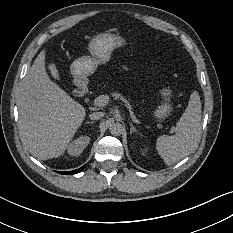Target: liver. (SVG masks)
<instances>
[{"instance_id":"6515ba94","label":"liver","mask_w":233,"mask_h":233,"mask_svg":"<svg viewBox=\"0 0 233 233\" xmlns=\"http://www.w3.org/2000/svg\"><path fill=\"white\" fill-rule=\"evenodd\" d=\"M18 124L24 145L36 157L59 155L85 116V109L52 82L40 52L23 82Z\"/></svg>"}]
</instances>
